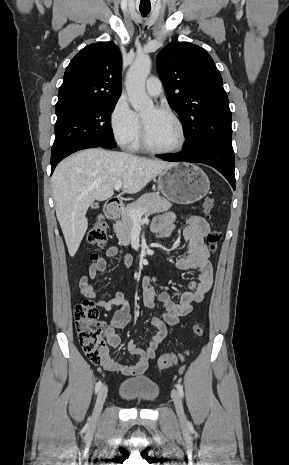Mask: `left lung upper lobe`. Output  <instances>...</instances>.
<instances>
[{
	"instance_id": "5c2ea615",
	"label": "left lung upper lobe",
	"mask_w": 289,
	"mask_h": 465,
	"mask_svg": "<svg viewBox=\"0 0 289 465\" xmlns=\"http://www.w3.org/2000/svg\"><path fill=\"white\" fill-rule=\"evenodd\" d=\"M157 68L168 103L184 123V151L204 144L233 149L229 101L209 53L188 42H172L159 52Z\"/></svg>"
}]
</instances>
